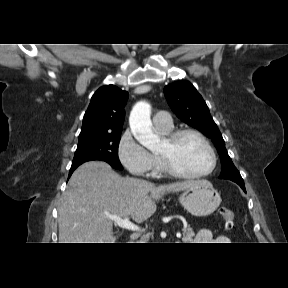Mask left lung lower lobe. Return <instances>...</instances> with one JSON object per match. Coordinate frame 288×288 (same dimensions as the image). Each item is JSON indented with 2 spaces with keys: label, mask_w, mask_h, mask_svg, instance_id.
Wrapping results in <instances>:
<instances>
[{
  "label": "left lung lower lobe",
  "mask_w": 288,
  "mask_h": 288,
  "mask_svg": "<svg viewBox=\"0 0 288 288\" xmlns=\"http://www.w3.org/2000/svg\"><path fill=\"white\" fill-rule=\"evenodd\" d=\"M240 187L246 192V190H245V186H243V185H240Z\"/></svg>",
  "instance_id": "left-lung-lower-lobe-1"
}]
</instances>
